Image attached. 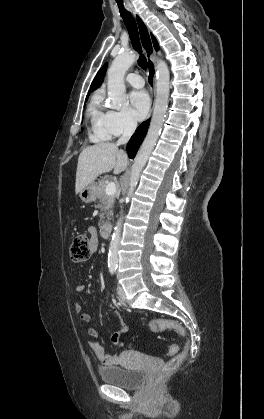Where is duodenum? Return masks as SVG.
I'll use <instances>...</instances> for the list:
<instances>
[{"mask_svg":"<svg viewBox=\"0 0 264 419\" xmlns=\"http://www.w3.org/2000/svg\"><path fill=\"white\" fill-rule=\"evenodd\" d=\"M112 224L111 223H105L101 228V235L103 238H108L111 235L112 232Z\"/></svg>","mask_w":264,"mask_h":419,"instance_id":"duodenum-1","label":"duodenum"}]
</instances>
